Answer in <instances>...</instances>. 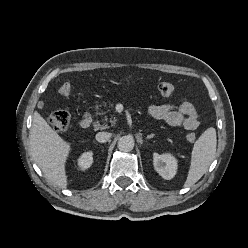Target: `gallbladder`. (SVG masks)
I'll return each instance as SVG.
<instances>
[{
  "label": "gallbladder",
  "instance_id": "1",
  "mask_svg": "<svg viewBox=\"0 0 248 248\" xmlns=\"http://www.w3.org/2000/svg\"><path fill=\"white\" fill-rule=\"evenodd\" d=\"M37 106H38V108L42 109L43 106H44V104H43V102L40 101V102H38V105Z\"/></svg>",
  "mask_w": 248,
  "mask_h": 248
}]
</instances>
